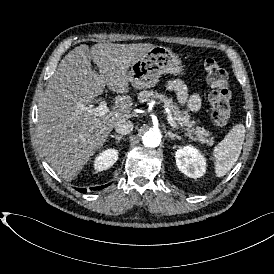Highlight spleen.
<instances>
[{"label": "spleen", "mask_w": 274, "mask_h": 274, "mask_svg": "<svg viewBox=\"0 0 274 274\" xmlns=\"http://www.w3.org/2000/svg\"><path fill=\"white\" fill-rule=\"evenodd\" d=\"M245 138L243 124L235 125L224 139L214 148L215 173L217 177L224 176L238 160Z\"/></svg>", "instance_id": "1"}]
</instances>
